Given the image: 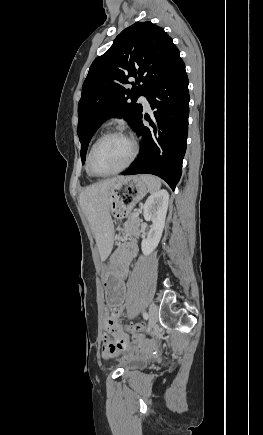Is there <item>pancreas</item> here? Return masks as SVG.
<instances>
[{
    "instance_id": "pancreas-1",
    "label": "pancreas",
    "mask_w": 263,
    "mask_h": 435,
    "mask_svg": "<svg viewBox=\"0 0 263 435\" xmlns=\"http://www.w3.org/2000/svg\"><path fill=\"white\" fill-rule=\"evenodd\" d=\"M139 217L134 212H130L126 221L124 232L127 236H139Z\"/></svg>"
}]
</instances>
